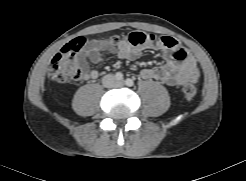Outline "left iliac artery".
I'll return each mask as SVG.
<instances>
[{
    "label": "left iliac artery",
    "mask_w": 246,
    "mask_h": 181,
    "mask_svg": "<svg viewBox=\"0 0 246 181\" xmlns=\"http://www.w3.org/2000/svg\"><path fill=\"white\" fill-rule=\"evenodd\" d=\"M125 84L129 87L134 85V81L130 78L126 79Z\"/></svg>",
    "instance_id": "obj_1"
}]
</instances>
